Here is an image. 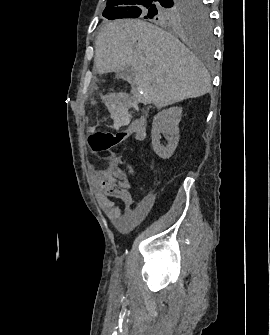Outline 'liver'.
Masks as SVG:
<instances>
[{
	"instance_id": "liver-1",
	"label": "liver",
	"mask_w": 270,
	"mask_h": 335,
	"mask_svg": "<svg viewBox=\"0 0 270 335\" xmlns=\"http://www.w3.org/2000/svg\"><path fill=\"white\" fill-rule=\"evenodd\" d=\"M94 66L98 74L133 68L131 84L156 108L204 96L210 86L198 58L178 38L144 20L105 24L97 36Z\"/></svg>"
}]
</instances>
